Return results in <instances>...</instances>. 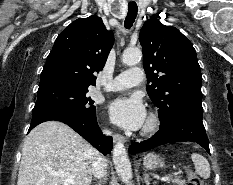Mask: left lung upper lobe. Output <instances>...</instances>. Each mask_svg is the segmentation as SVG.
<instances>
[{
	"instance_id": "5c2ea615",
	"label": "left lung upper lobe",
	"mask_w": 233,
	"mask_h": 185,
	"mask_svg": "<svg viewBox=\"0 0 233 185\" xmlns=\"http://www.w3.org/2000/svg\"><path fill=\"white\" fill-rule=\"evenodd\" d=\"M139 41L147 92L159 108L160 127L171 123L190 103L201 102L202 75L192 43L175 27L150 18Z\"/></svg>"
}]
</instances>
